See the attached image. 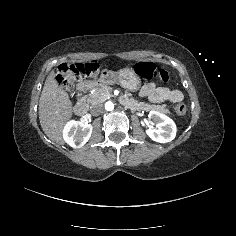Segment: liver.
Returning <instances> with one entry per match:
<instances>
[{
    "label": "liver",
    "mask_w": 236,
    "mask_h": 236,
    "mask_svg": "<svg viewBox=\"0 0 236 236\" xmlns=\"http://www.w3.org/2000/svg\"><path fill=\"white\" fill-rule=\"evenodd\" d=\"M39 120L43 132L59 145H65L63 137L66 124L73 118L74 106L66 89L50 71L39 99Z\"/></svg>",
    "instance_id": "liver-1"
}]
</instances>
